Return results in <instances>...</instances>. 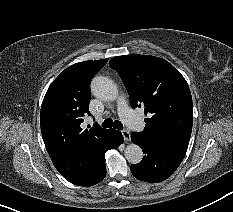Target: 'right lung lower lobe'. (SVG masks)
I'll use <instances>...</instances> for the list:
<instances>
[{
  "instance_id": "1",
  "label": "right lung lower lobe",
  "mask_w": 233,
  "mask_h": 212,
  "mask_svg": "<svg viewBox=\"0 0 233 212\" xmlns=\"http://www.w3.org/2000/svg\"><path fill=\"white\" fill-rule=\"evenodd\" d=\"M123 141L124 139L120 131L110 129L107 138L96 154V159L91 171L73 184L79 186H92L102 181L106 175V166L104 162L105 153L109 149H116L123 143Z\"/></svg>"
}]
</instances>
